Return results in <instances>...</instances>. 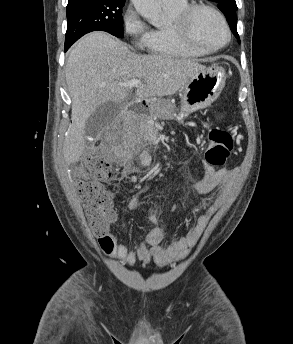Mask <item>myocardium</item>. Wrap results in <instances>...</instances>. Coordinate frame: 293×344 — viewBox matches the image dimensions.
<instances>
[{"label":"myocardium","mask_w":293,"mask_h":344,"mask_svg":"<svg viewBox=\"0 0 293 344\" xmlns=\"http://www.w3.org/2000/svg\"><path fill=\"white\" fill-rule=\"evenodd\" d=\"M199 10L209 11L219 19L226 32L224 43L214 48H206L194 41L190 32V23L194 14ZM171 27L176 37L185 46L201 54H212L224 49L230 43L232 37L231 29L224 15L216 7L206 3H196L186 7L172 20Z\"/></svg>","instance_id":"f54148a6"}]
</instances>
